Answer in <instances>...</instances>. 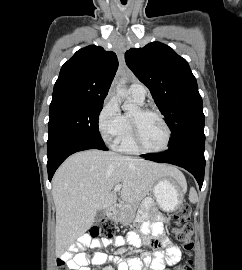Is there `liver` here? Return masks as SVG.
Segmentation results:
<instances>
[{"label": "liver", "mask_w": 242, "mask_h": 270, "mask_svg": "<svg viewBox=\"0 0 242 270\" xmlns=\"http://www.w3.org/2000/svg\"><path fill=\"white\" fill-rule=\"evenodd\" d=\"M184 183L175 167L115 152L86 150L70 156L56 171L52 194L56 207V249L63 250L82 236L94 223L99 210L117 200L113 188L122 185V201L137 204L162 177Z\"/></svg>", "instance_id": "1"}]
</instances>
